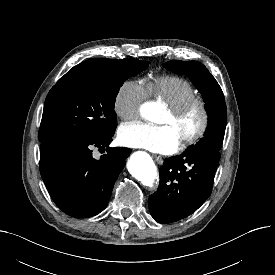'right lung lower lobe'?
I'll list each match as a JSON object with an SVG mask.
<instances>
[{
	"label": "right lung lower lobe",
	"instance_id": "98d812e1",
	"mask_svg": "<svg viewBox=\"0 0 275 275\" xmlns=\"http://www.w3.org/2000/svg\"><path fill=\"white\" fill-rule=\"evenodd\" d=\"M112 137L41 144L40 173L51 198L64 213L86 218L107 206L114 183L131 153L129 148L109 147ZM94 147L106 153L95 159Z\"/></svg>",
	"mask_w": 275,
	"mask_h": 275
}]
</instances>
